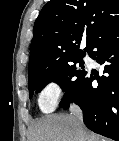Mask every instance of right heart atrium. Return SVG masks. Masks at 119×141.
I'll return each mask as SVG.
<instances>
[{
	"label": "right heart atrium",
	"instance_id": "1",
	"mask_svg": "<svg viewBox=\"0 0 119 141\" xmlns=\"http://www.w3.org/2000/svg\"><path fill=\"white\" fill-rule=\"evenodd\" d=\"M62 96L61 84L56 80L47 82L39 93V104L45 111L51 110L57 105Z\"/></svg>",
	"mask_w": 119,
	"mask_h": 141
}]
</instances>
